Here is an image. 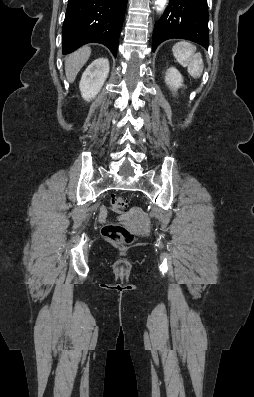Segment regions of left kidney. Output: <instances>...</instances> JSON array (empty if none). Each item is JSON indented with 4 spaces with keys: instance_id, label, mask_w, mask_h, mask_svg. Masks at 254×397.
<instances>
[{
    "instance_id": "5707ae66",
    "label": "left kidney",
    "mask_w": 254,
    "mask_h": 397,
    "mask_svg": "<svg viewBox=\"0 0 254 397\" xmlns=\"http://www.w3.org/2000/svg\"><path fill=\"white\" fill-rule=\"evenodd\" d=\"M165 81L170 89L175 92L178 88L183 86V77L180 72L174 67H171L167 70Z\"/></svg>"
}]
</instances>
